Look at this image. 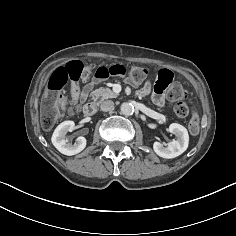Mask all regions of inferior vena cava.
<instances>
[{
	"label": "inferior vena cava",
	"instance_id": "obj_1",
	"mask_svg": "<svg viewBox=\"0 0 236 236\" xmlns=\"http://www.w3.org/2000/svg\"><path fill=\"white\" fill-rule=\"evenodd\" d=\"M114 107V102L112 100H106L101 103L100 108L102 111H110Z\"/></svg>",
	"mask_w": 236,
	"mask_h": 236
}]
</instances>
